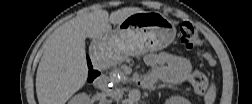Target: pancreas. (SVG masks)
I'll return each mask as SVG.
<instances>
[{"label":"pancreas","instance_id":"cf45deb5","mask_svg":"<svg viewBox=\"0 0 252 104\" xmlns=\"http://www.w3.org/2000/svg\"><path fill=\"white\" fill-rule=\"evenodd\" d=\"M121 77L123 78V80L125 81V82H128L130 79H129V77L125 74V73H122L121 74Z\"/></svg>","mask_w":252,"mask_h":104}]
</instances>
